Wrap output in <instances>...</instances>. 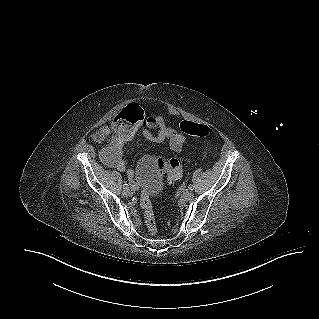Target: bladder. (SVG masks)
<instances>
[{"mask_svg":"<svg viewBox=\"0 0 319 319\" xmlns=\"http://www.w3.org/2000/svg\"><path fill=\"white\" fill-rule=\"evenodd\" d=\"M158 169L156 158L149 154L142 156L136 164L135 178L149 194H158L161 191Z\"/></svg>","mask_w":319,"mask_h":319,"instance_id":"1","label":"bladder"}]
</instances>
